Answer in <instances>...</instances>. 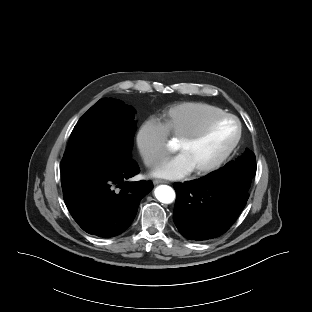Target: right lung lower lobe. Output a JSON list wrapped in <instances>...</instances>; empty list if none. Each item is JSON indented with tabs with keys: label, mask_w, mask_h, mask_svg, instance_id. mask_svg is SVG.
<instances>
[{
	"label": "right lung lower lobe",
	"mask_w": 312,
	"mask_h": 312,
	"mask_svg": "<svg viewBox=\"0 0 312 312\" xmlns=\"http://www.w3.org/2000/svg\"><path fill=\"white\" fill-rule=\"evenodd\" d=\"M139 171L137 163L128 159L63 190L74 220L84 231L99 237L109 238L125 231L136 216L140 200L153 188L151 181H126Z\"/></svg>",
	"instance_id": "1"
}]
</instances>
